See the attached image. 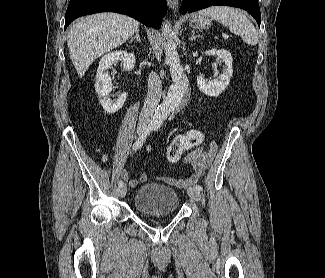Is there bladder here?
<instances>
[{
  "label": "bladder",
  "instance_id": "1",
  "mask_svg": "<svg viewBox=\"0 0 325 278\" xmlns=\"http://www.w3.org/2000/svg\"><path fill=\"white\" fill-rule=\"evenodd\" d=\"M180 198L172 187L162 183L141 185L134 198L135 209L146 215H165L176 213Z\"/></svg>",
  "mask_w": 325,
  "mask_h": 278
}]
</instances>
